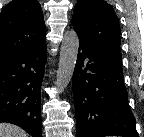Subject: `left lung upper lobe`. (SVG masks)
Listing matches in <instances>:
<instances>
[{
	"label": "left lung upper lobe",
	"instance_id": "obj_1",
	"mask_svg": "<svg viewBox=\"0 0 144 137\" xmlns=\"http://www.w3.org/2000/svg\"><path fill=\"white\" fill-rule=\"evenodd\" d=\"M74 30L94 49L122 59L120 25L113 7L104 0H78L72 19Z\"/></svg>",
	"mask_w": 144,
	"mask_h": 137
}]
</instances>
